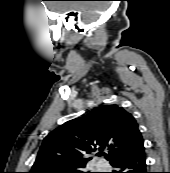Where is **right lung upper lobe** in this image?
I'll return each instance as SVG.
<instances>
[{"label": "right lung upper lobe", "mask_w": 170, "mask_h": 173, "mask_svg": "<svg viewBox=\"0 0 170 173\" xmlns=\"http://www.w3.org/2000/svg\"><path fill=\"white\" fill-rule=\"evenodd\" d=\"M143 142L132 114L118 105L100 106L49 133L30 173L83 170L91 160L87 154L104 150H107L106 159L111 163Z\"/></svg>", "instance_id": "obj_1"}]
</instances>
